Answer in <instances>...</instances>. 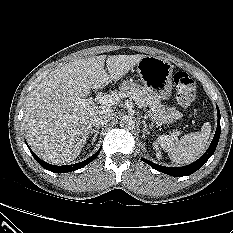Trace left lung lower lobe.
Wrapping results in <instances>:
<instances>
[{"instance_id":"left-lung-lower-lobe-1","label":"left lung lower lobe","mask_w":233,"mask_h":233,"mask_svg":"<svg viewBox=\"0 0 233 233\" xmlns=\"http://www.w3.org/2000/svg\"><path fill=\"white\" fill-rule=\"evenodd\" d=\"M217 115H218V123H217V129H216L214 138H213L209 148L207 149V151L197 161L193 162L190 165L184 166V167L171 168V167H164V166L155 164V163H153L149 160H146L144 158H142V160L144 162H146L147 164H149L154 169H156L162 173L174 176V177H182V176L191 175L192 173H194L195 171L200 169L207 162V160L211 157V155H213L215 152V149L217 147V144H218V141L220 138V133H221L220 111H219L218 106H217Z\"/></svg>"}]
</instances>
